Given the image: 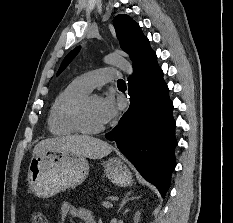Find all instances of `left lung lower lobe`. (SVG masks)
Here are the masks:
<instances>
[{
  "label": "left lung lower lobe",
  "mask_w": 233,
  "mask_h": 223,
  "mask_svg": "<svg viewBox=\"0 0 233 223\" xmlns=\"http://www.w3.org/2000/svg\"><path fill=\"white\" fill-rule=\"evenodd\" d=\"M133 68L128 79L130 107L105 137L117 143L119 150L164 197L176 165L173 104L150 46Z\"/></svg>",
  "instance_id": "obj_1"
}]
</instances>
